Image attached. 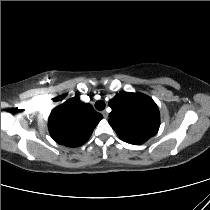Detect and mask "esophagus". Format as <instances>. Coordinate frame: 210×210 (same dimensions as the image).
<instances>
[{
    "instance_id": "1",
    "label": "esophagus",
    "mask_w": 210,
    "mask_h": 210,
    "mask_svg": "<svg viewBox=\"0 0 210 210\" xmlns=\"http://www.w3.org/2000/svg\"><path fill=\"white\" fill-rule=\"evenodd\" d=\"M102 115H103L104 118H108V113H107V111H105V110L102 111Z\"/></svg>"
}]
</instances>
